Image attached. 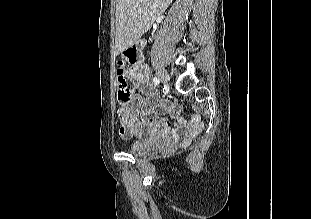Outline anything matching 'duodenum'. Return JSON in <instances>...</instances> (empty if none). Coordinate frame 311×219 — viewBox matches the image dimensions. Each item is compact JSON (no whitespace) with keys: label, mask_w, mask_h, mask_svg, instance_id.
<instances>
[{"label":"duodenum","mask_w":311,"mask_h":219,"mask_svg":"<svg viewBox=\"0 0 311 219\" xmlns=\"http://www.w3.org/2000/svg\"><path fill=\"white\" fill-rule=\"evenodd\" d=\"M144 45L145 42L141 39L129 49L130 54L134 57L137 63H141V61L143 60L142 49Z\"/></svg>","instance_id":"410a0bca"}]
</instances>
